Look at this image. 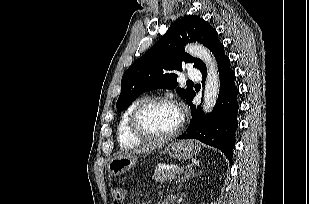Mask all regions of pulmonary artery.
Listing matches in <instances>:
<instances>
[{"label": "pulmonary artery", "mask_w": 309, "mask_h": 204, "mask_svg": "<svg viewBox=\"0 0 309 204\" xmlns=\"http://www.w3.org/2000/svg\"><path fill=\"white\" fill-rule=\"evenodd\" d=\"M187 78L189 80H200L201 79V72L197 69H191L187 73Z\"/></svg>", "instance_id": "e3ab8cb5"}]
</instances>
